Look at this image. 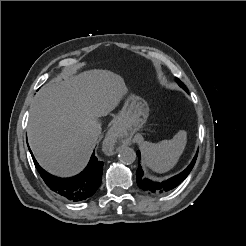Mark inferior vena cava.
<instances>
[{
    "label": "inferior vena cava",
    "instance_id": "inferior-vena-cava-1",
    "mask_svg": "<svg viewBox=\"0 0 246 246\" xmlns=\"http://www.w3.org/2000/svg\"><path fill=\"white\" fill-rule=\"evenodd\" d=\"M90 131L93 135L98 136L101 133V124L98 121H93Z\"/></svg>",
    "mask_w": 246,
    "mask_h": 246
}]
</instances>
